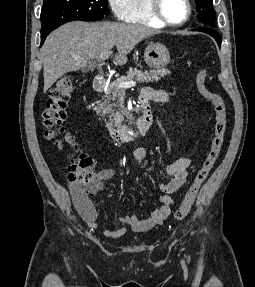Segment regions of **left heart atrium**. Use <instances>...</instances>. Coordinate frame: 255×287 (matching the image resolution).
I'll return each mask as SVG.
<instances>
[{"mask_svg":"<svg viewBox=\"0 0 255 287\" xmlns=\"http://www.w3.org/2000/svg\"><path fill=\"white\" fill-rule=\"evenodd\" d=\"M114 33H134V32H114ZM112 39H136V38H112ZM115 48H134V47H115Z\"/></svg>","mask_w":255,"mask_h":287,"instance_id":"1","label":"left heart atrium"}]
</instances>
